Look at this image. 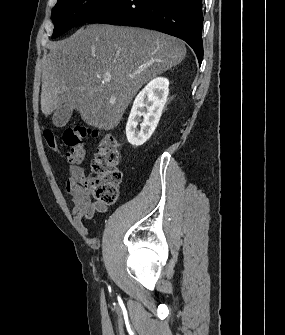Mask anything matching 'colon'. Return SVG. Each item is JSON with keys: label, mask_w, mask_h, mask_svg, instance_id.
Here are the masks:
<instances>
[{"label": "colon", "mask_w": 285, "mask_h": 335, "mask_svg": "<svg viewBox=\"0 0 285 335\" xmlns=\"http://www.w3.org/2000/svg\"><path fill=\"white\" fill-rule=\"evenodd\" d=\"M48 147L59 151L56 135L52 130L43 132ZM92 136L99 140L97 151L91 163L94 175L90 178V187L96 201L111 205L115 203L122 182V173L118 168L120 161V145L117 139L100 131L83 125H75L65 130L63 141L69 147L65 154L70 165H80L85 157L84 140Z\"/></svg>", "instance_id": "obj_1"}]
</instances>
